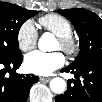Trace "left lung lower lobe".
I'll list each match as a JSON object with an SVG mask.
<instances>
[{
    "label": "left lung lower lobe",
    "mask_w": 102,
    "mask_h": 102,
    "mask_svg": "<svg viewBox=\"0 0 102 102\" xmlns=\"http://www.w3.org/2000/svg\"><path fill=\"white\" fill-rule=\"evenodd\" d=\"M75 74L68 80L64 94L55 97L56 102H102V62L92 61L68 66L61 70ZM79 76L83 81L79 80ZM74 85H71V83Z\"/></svg>",
    "instance_id": "1"
}]
</instances>
